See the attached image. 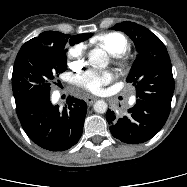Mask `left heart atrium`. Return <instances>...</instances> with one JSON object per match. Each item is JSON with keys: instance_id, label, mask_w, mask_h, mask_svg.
<instances>
[{"instance_id": "left-heart-atrium-1", "label": "left heart atrium", "mask_w": 187, "mask_h": 187, "mask_svg": "<svg viewBox=\"0 0 187 187\" xmlns=\"http://www.w3.org/2000/svg\"><path fill=\"white\" fill-rule=\"evenodd\" d=\"M115 75L111 71H90L84 74L79 84L91 93H101L106 85L111 83Z\"/></svg>"}]
</instances>
